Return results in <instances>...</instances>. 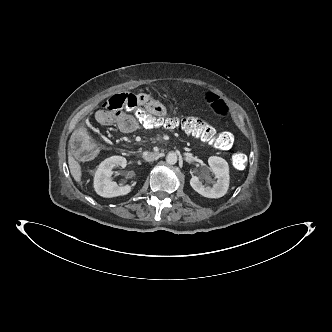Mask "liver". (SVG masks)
<instances>
[{
    "mask_svg": "<svg viewBox=\"0 0 332 332\" xmlns=\"http://www.w3.org/2000/svg\"><path fill=\"white\" fill-rule=\"evenodd\" d=\"M68 165H69L70 173L73 176V178L75 179V181L80 182L81 176H82L81 166L75 160L71 151L68 152Z\"/></svg>",
    "mask_w": 332,
    "mask_h": 332,
    "instance_id": "1",
    "label": "liver"
}]
</instances>
